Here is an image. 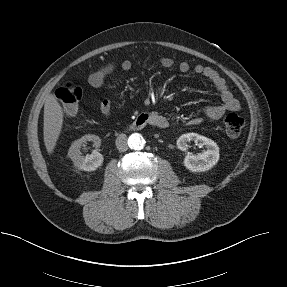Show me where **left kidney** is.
Instances as JSON below:
<instances>
[{
	"label": "left kidney",
	"instance_id": "obj_1",
	"mask_svg": "<svg viewBox=\"0 0 287 287\" xmlns=\"http://www.w3.org/2000/svg\"><path fill=\"white\" fill-rule=\"evenodd\" d=\"M190 141H194L196 145L204 146L206 150L197 155L187 153L184 159V166L189 171L205 172L217 164L219 160V147L213 140L197 133H187L178 138L177 146L180 150L186 151Z\"/></svg>",
	"mask_w": 287,
	"mask_h": 287
}]
</instances>
